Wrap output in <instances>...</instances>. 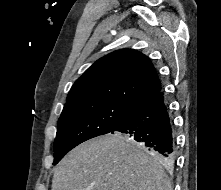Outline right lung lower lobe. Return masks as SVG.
I'll list each match as a JSON object with an SVG mask.
<instances>
[{
    "label": "right lung lower lobe",
    "mask_w": 221,
    "mask_h": 190,
    "mask_svg": "<svg viewBox=\"0 0 221 190\" xmlns=\"http://www.w3.org/2000/svg\"><path fill=\"white\" fill-rule=\"evenodd\" d=\"M114 132L133 137L164 162L174 161V125L162 90L133 107Z\"/></svg>",
    "instance_id": "1"
}]
</instances>
